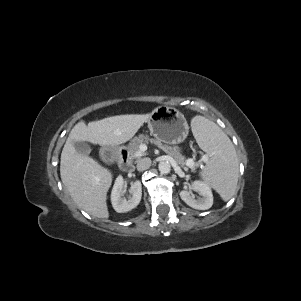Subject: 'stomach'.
<instances>
[{
	"label": "stomach",
	"mask_w": 301,
	"mask_h": 301,
	"mask_svg": "<svg viewBox=\"0 0 301 301\" xmlns=\"http://www.w3.org/2000/svg\"><path fill=\"white\" fill-rule=\"evenodd\" d=\"M148 128L150 134L160 142L179 144L188 136L189 126L184 115L171 107H157L150 115Z\"/></svg>",
	"instance_id": "stomach-1"
}]
</instances>
